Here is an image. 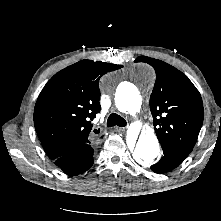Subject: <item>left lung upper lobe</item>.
Instances as JSON below:
<instances>
[{"label": "left lung upper lobe", "instance_id": "5c2ea615", "mask_svg": "<svg viewBox=\"0 0 221 221\" xmlns=\"http://www.w3.org/2000/svg\"><path fill=\"white\" fill-rule=\"evenodd\" d=\"M135 62H146L156 71L150 110L161 146L190 153L203 123L200 93L185 74L161 60L140 56Z\"/></svg>", "mask_w": 221, "mask_h": 221}]
</instances>
